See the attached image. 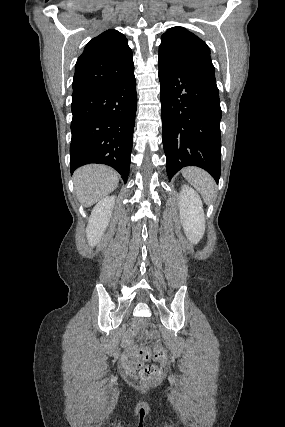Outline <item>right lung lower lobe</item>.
Masks as SVG:
<instances>
[{"instance_id": "right-lung-lower-lobe-1", "label": "right lung lower lobe", "mask_w": 285, "mask_h": 427, "mask_svg": "<svg viewBox=\"0 0 285 427\" xmlns=\"http://www.w3.org/2000/svg\"><path fill=\"white\" fill-rule=\"evenodd\" d=\"M136 103L134 73L124 81L72 96L71 173L100 163L113 167L127 182Z\"/></svg>"}]
</instances>
